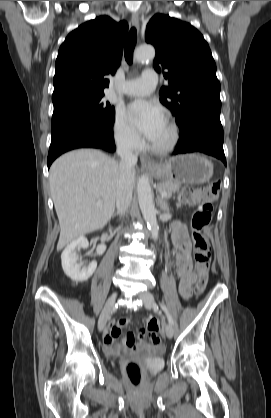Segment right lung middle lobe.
<instances>
[{"mask_svg": "<svg viewBox=\"0 0 271 418\" xmlns=\"http://www.w3.org/2000/svg\"><path fill=\"white\" fill-rule=\"evenodd\" d=\"M104 93L75 94L54 100L52 129L61 125L92 119L114 122L115 109L102 98Z\"/></svg>", "mask_w": 271, "mask_h": 418, "instance_id": "right-lung-middle-lobe-1", "label": "right lung middle lobe"}]
</instances>
